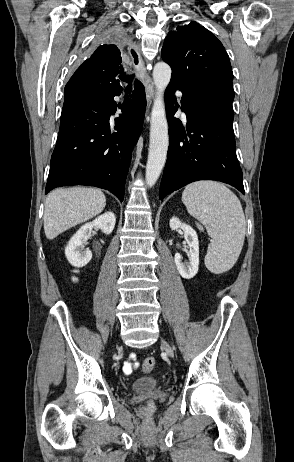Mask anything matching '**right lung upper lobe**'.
Masks as SVG:
<instances>
[{
	"instance_id": "obj_1",
	"label": "right lung upper lobe",
	"mask_w": 294,
	"mask_h": 462,
	"mask_svg": "<svg viewBox=\"0 0 294 462\" xmlns=\"http://www.w3.org/2000/svg\"><path fill=\"white\" fill-rule=\"evenodd\" d=\"M123 71L122 58L117 46L100 45L66 84L64 99L68 100L77 94L96 97L121 91L122 87L117 78Z\"/></svg>"
}]
</instances>
